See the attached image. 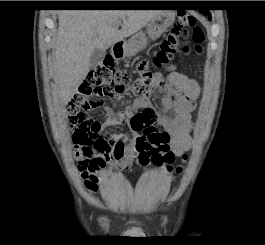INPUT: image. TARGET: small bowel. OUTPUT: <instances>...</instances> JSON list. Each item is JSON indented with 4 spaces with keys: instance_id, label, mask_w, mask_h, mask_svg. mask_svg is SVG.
<instances>
[{
    "instance_id": "1",
    "label": "small bowel",
    "mask_w": 265,
    "mask_h": 245,
    "mask_svg": "<svg viewBox=\"0 0 265 245\" xmlns=\"http://www.w3.org/2000/svg\"><path fill=\"white\" fill-rule=\"evenodd\" d=\"M155 84L162 96L163 112L154 109L149 100L143 97L136 98L132 106L116 113L108 107L105 108L106 121L100 125L99 132L122 142L125 146L123 154L118 156L108 150L87 148L75 141L74 154L78 161V172L89 192L98 191L107 176L108 167L116 170L129 168L134 144L129 142L124 134H109L107 128L127 122L136 111L151 113L156 121L169 131L170 150L175 156H182L192 147L191 112L200 91L198 82L171 66L165 77H156Z\"/></svg>"
}]
</instances>
